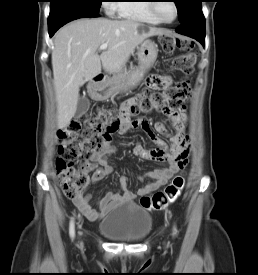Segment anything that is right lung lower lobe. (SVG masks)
Returning a JSON list of instances; mask_svg holds the SVG:
<instances>
[{
	"label": "right lung lower lobe",
	"mask_w": 258,
	"mask_h": 275,
	"mask_svg": "<svg viewBox=\"0 0 258 275\" xmlns=\"http://www.w3.org/2000/svg\"><path fill=\"white\" fill-rule=\"evenodd\" d=\"M85 17H99V14L85 10H61L55 13H50L48 18V30L50 37H52L54 33L64 24L72 20Z\"/></svg>",
	"instance_id": "1"
}]
</instances>
